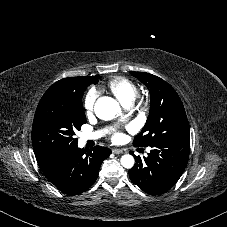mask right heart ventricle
<instances>
[{
  "mask_svg": "<svg viewBox=\"0 0 227 227\" xmlns=\"http://www.w3.org/2000/svg\"><path fill=\"white\" fill-rule=\"evenodd\" d=\"M105 90L114 95L122 105H130L137 95L136 85L126 77H114L105 85Z\"/></svg>",
  "mask_w": 227,
  "mask_h": 227,
  "instance_id": "right-heart-ventricle-1",
  "label": "right heart ventricle"
}]
</instances>
